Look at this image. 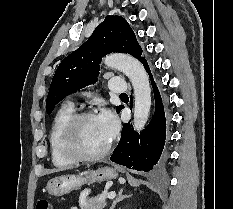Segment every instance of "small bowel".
<instances>
[{"instance_id": "c3829d8e", "label": "small bowel", "mask_w": 233, "mask_h": 209, "mask_svg": "<svg viewBox=\"0 0 233 209\" xmlns=\"http://www.w3.org/2000/svg\"><path fill=\"white\" fill-rule=\"evenodd\" d=\"M70 209H80L79 207H72V208H70Z\"/></svg>"}]
</instances>
